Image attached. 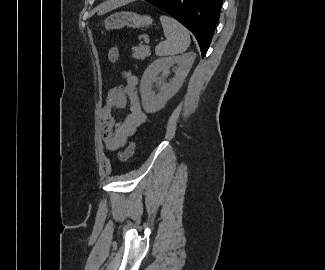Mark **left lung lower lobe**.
<instances>
[{"instance_id":"1","label":"left lung lower lobe","mask_w":325,"mask_h":270,"mask_svg":"<svg viewBox=\"0 0 325 270\" xmlns=\"http://www.w3.org/2000/svg\"><path fill=\"white\" fill-rule=\"evenodd\" d=\"M178 20L196 37L202 57L206 54L223 0H146Z\"/></svg>"}]
</instances>
